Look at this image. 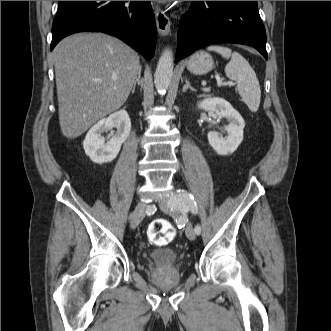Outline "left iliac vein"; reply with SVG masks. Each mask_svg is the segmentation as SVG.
Returning a JSON list of instances; mask_svg holds the SVG:
<instances>
[{"label": "left iliac vein", "instance_id": "1", "mask_svg": "<svg viewBox=\"0 0 331 331\" xmlns=\"http://www.w3.org/2000/svg\"><path fill=\"white\" fill-rule=\"evenodd\" d=\"M161 208L163 210H168V204L166 203V201L161 202ZM185 234L189 240H195V238H196L195 230L193 229V227L190 223H188L186 225Z\"/></svg>", "mask_w": 331, "mask_h": 331}]
</instances>
